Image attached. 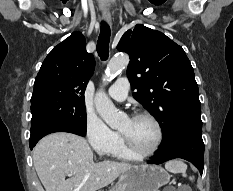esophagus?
<instances>
[{
    "mask_svg": "<svg viewBox=\"0 0 233 191\" xmlns=\"http://www.w3.org/2000/svg\"><path fill=\"white\" fill-rule=\"evenodd\" d=\"M103 20L108 23L111 24V16L109 14H104L103 15Z\"/></svg>",
    "mask_w": 233,
    "mask_h": 191,
    "instance_id": "esophagus-1",
    "label": "esophagus"
}]
</instances>
